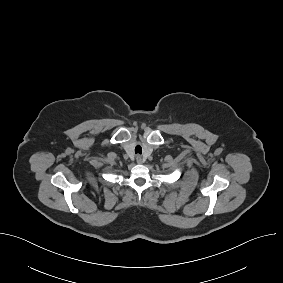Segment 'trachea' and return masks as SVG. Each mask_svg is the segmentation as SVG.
<instances>
[{
	"instance_id": "3493384b",
	"label": "trachea",
	"mask_w": 283,
	"mask_h": 283,
	"mask_svg": "<svg viewBox=\"0 0 283 283\" xmlns=\"http://www.w3.org/2000/svg\"><path fill=\"white\" fill-rule=\"evenodd\" d=\"M135 153H138V154H141V153H142V148H141L140 145H137V146L135 147Z\"/></svg>"
}]
</instances>
